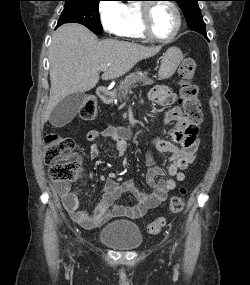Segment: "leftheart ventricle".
Returning <instances> with one entry per match:
<instances>
[{
	"label": "left heart ventricle",
	"instance_id": "obj_1",
	"mask_svg": "<svg viewBox=\"0 0 250 285\" xmlns=\"http://www.w3.org/2000/svg\"><path fill=\"white\" fill-rule=\"evenodd\" d=\"M177 19L170 6L164 3L156 4L151 13V26L158 37H169L175 30Z\"/></svg>",
	"mask_w": 250,
	"mask_h": 285
}]
</instances>
